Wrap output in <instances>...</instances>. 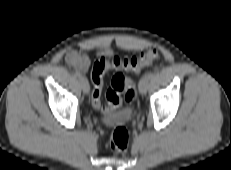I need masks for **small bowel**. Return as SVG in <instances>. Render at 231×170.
I'll use <instances>...</instances> for the list:
<instances>
[{
	"label": "small bowel",
	"instance_id": "1",
	"mask_svg": "<svg viewBox=\"0 0 231 170\" xmlns=\"http://www.w3.org/2000/svg\"><path fill=\"white\" fill-rule=\"evenodd\" d=\"M101 56L109 57L113 54L112 49L105 48L100 53ZM65 61L81 73H86L90 67L89 55L84 50H71L66 53Z\"/></svg>",
	"mask_w": 231,
	"mask_h": 170
}]
</instances>
